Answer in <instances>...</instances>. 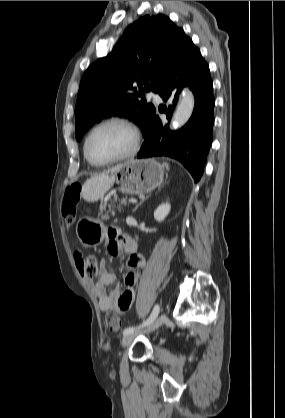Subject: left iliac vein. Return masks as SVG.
<instances>
[{
    "label": "left iliac vein",
    "mask_w": 285,
    "mask_h": 418,
    "mask_svg": "<svg viewBox=\"0 0 285 418\" xmlns=\"http://www.w3.org/2000/svg\"><path fill=\"white\" fill-rule=\"evenodd\" d=\"M167 320V316L165 313H162L155 321L148 325V327L144 330V333H151L157 328H159L165 321ZM139 332H133L126 335L122 341V347H126L132 343V341L137 337Z\"/></svg>",
    "instance_id": "1"
}]
</instances>
